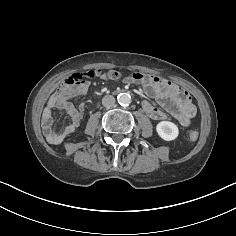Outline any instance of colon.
<instances>
[{
	"label": "colon",
	"mask_w": 236,
	"mask_h": 236,
	"mask_svg": "<svg viewBox=\"0 0 236 236\" xmlns=\"http://www.w3.org/2000/svg\"><path fill=\"white\" fill-rule=\"evenodd\" d=\"M85 73H86V72H83V73H82V72H81V73H75V74L73 75L72 81H73V82H81V81L85 80V78H88V77L85 76ZM94 75H95V73L92 71L90 77H92V76H94ZM102 75H103L105 78H108V79H117V78H119L120 73H119L118 71H116V70H108V71L103 72ZM143 76H144V75L135 72V73H131L130 75H128V78H129L131 81L137 82V81H139L140 79H142ZM197 138H198V131H196V130L191 131V132L189 133V135H188V139H189L190 141H195V140H197Z\"/></svg>",
	"instance_id": "5ec220e1"
}]
</instances>
